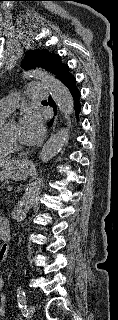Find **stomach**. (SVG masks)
Masks as SVG:
<instances>
[{
	"label": "stomach",
	"instance_id": "stomach-1",
	"mask_svg": "<svg viewBox=\"0 0 118 320\" xmlns=\"http://www.w3.org/2000/svg\"><path fill=\"white\" fill-rule=\"evenodd\" d=\"M33 164L28 160L16 161L13 164L7 165L0 170V181L12 179L15 181L24 180L27 178Z\"/></svg>",
	"mask_w": 118,
	"mask_h": 320
}]
</instances>
